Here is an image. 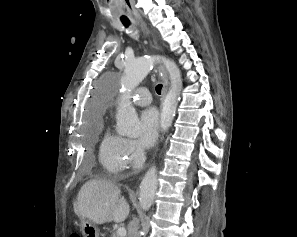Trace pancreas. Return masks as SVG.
I'll return each instance as SVG.
<instances>
[{"instance_id": "pancreas-1", "label": "pancreas", "mask_w": 297, "mask_h": 237, "mask_svg": "<svg viewBox=\"0 0 297 237\" xmlns=\"http://www.w3.org/2000/svg\"><path fill=\"white\" fill-rule=\"evenodd\" d=\"M112 237H118V235L114 233V234L112 235Z\"/></svg>"}]
</instances>
